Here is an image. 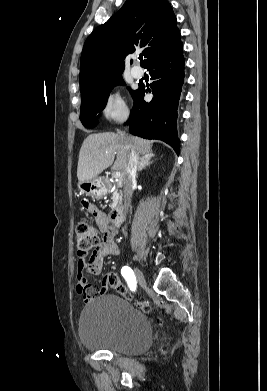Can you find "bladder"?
<instances>
[{
	"mask_svg": "<svg viewBox=\"0 0 267 391\" xmlns=\"http://www.w3.org/2000/svg\"><path fill=\"white\" fill-rule=\"evenodd\" d=\"M78 333L86 348L130 356L142 354L152 342L147 316L113 294L95 298L83 308Z\"/></svg>",
	"mask_w": 267,
	"mask_h": 391,
	"instance_id": "bladder-1",
	"label": "bladder"
}]
</instances>
